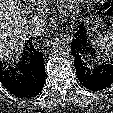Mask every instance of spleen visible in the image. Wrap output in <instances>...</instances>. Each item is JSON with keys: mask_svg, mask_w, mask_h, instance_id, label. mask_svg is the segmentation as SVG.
Listing matches in <instances>:
<instances>
[{"mask_svg": "<svg viewBox=\"0 0 113 113\" xmlns=\"http://www.w3.org/2000/svg\"><path fill=\"white\" fill-rule=\"evenodd\" d=\"M92 45L97 50L99 59L105 56L110 57L113 55V33H110L108 36L99 37L92 42Z\"/></svg>", "mask_w": 113, "mask_h": 113, "instance_id": "spleen-1", "label": "spleen"}]
</instances>
